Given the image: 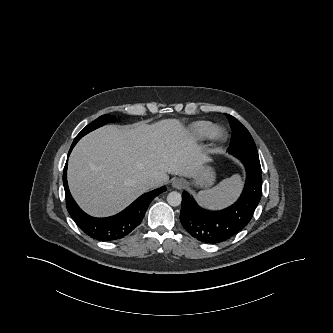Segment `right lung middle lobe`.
Returning <instances> with one entry per match:
<instances>
[{
  "mask_svg": "<svg viewBox=\"0 0 333 333\" xmlns=\"http://www.w3.org/2000/svg\"><path fill=\"white\" fill-rule=\"evenodd\" d=\"M117 121V119H115L112 115H102L100 117H98L96 120H94L93 122H91L90 124H88L74 139V141H79L80 138H82L84 135H86L87 133L109 123V122H115ZM73 141V142H74Z\"/></svg>",
  "mask_w": 333,
  "mask_h": 333,
  "instance_id": "right-lung-middle-lobe-1",
  "label": "right lung middle lobe"
}]
</instances>
